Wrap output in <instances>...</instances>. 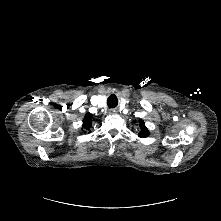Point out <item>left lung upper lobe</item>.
Wrapping results in <instances>:
<instances>
[{
	"label": "left lung upper lobe",
	"instance_id": "left-lung-upper-lobe-1",
	"mask_svg": "<svg viewBox=\"0 0 221 221\" xmlns=\"http://www.w3.org/2000/svg\"><path fill=\"white\" fill-rule=\"evenodd\" d=\"M138 136L141 138H146L149 136V131L145 126V123L143 120H139V133Z\"/></svg>",
	"mask_w": 221,
	"mask_h": 221
}]
</instances>
